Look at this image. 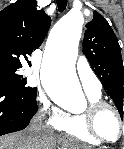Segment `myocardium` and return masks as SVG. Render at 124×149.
Returning a JSON list of instances; mask_svg holds the SVG:
<instances>
[{
	"instance_id": "1",
	"label": "myocardium",
	"mask_w": 124,
	"mask_h": 149,
	"mask_svg": "<svg viewBox=\"0 0 124 149\" xmlns=\"http://www.w3.org/2000/svg\"><path fill=\"white\" fill-rule=\"evenodd\" d=\"M104 109H110L114 113L118 121L119 135L115 140L106 139L97 130L96 120L99 113ZM82 115L88 133L97 141L105 144H114L122 140V138H124V119L118 108L113 104L103 100L90 101Z\"/></svg>"
}]
</instances>
